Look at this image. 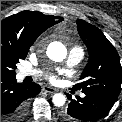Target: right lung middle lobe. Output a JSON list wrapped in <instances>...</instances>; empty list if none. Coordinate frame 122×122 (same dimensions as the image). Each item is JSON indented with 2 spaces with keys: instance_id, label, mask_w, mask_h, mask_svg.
I'll return each mask as SVG.
<instances>
[{
  "instance_id": "dd1d6c3e",
  "label": "right lung middle lobe",
  "mask_w": 122,
  "mask_h": 122,
  "mask_svg": "<svg viewBox=\"0 0 122 122\" xmlns=\"http://www.w3.org/2000/svg\"><path fill=\"white\" fill-rule=\"evenodd\" d=\"M27 53L18 49L1 45V74L15 76L16 64L20 59H25Z\"/></svg>"
}]
</instances>
